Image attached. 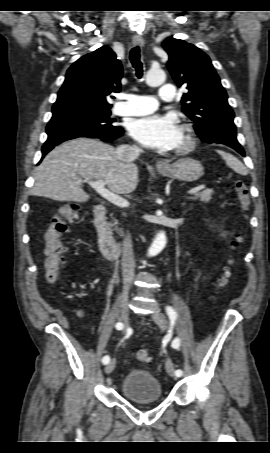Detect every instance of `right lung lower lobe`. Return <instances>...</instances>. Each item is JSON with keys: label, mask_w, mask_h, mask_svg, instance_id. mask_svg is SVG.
<instances>
[{"label": "right lung lower lobe", "mask_w": 270, "mask_h": 453, "mask_svg": "<svg viewBox=\"0 0 270 453\" xmlns=\"http://www.w3.org/2000/svg\"><path fill=\"white\" fill-rule=\"evenodd\" d=\"M48 139L42 147V158L56 145L77 137L99 138L109 142L122 136L123 129L115 126L112 129L94 128L77 124H48L46 128Z\"/></svg>", "instance_id": "right-lung-lower-lobe-1"}]
</instances>
